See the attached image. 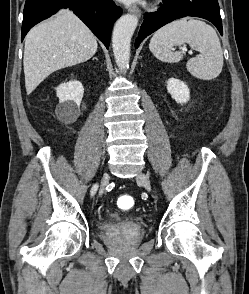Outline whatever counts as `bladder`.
Segmentation results:
<instances>
[{
    "label": "bladder",
    "instance_id": "bladder-1",
    "mask_svg": "<svg viewBox=\"0 0 249 294\" xmlns=\"http://www.w3.org/2000/svg\"><path fill=\"white\" fill-rule=\"evenodd\" d=\"M143 221L140 217L135 216H117L113 217L110 221L105 224L104 234L106 236L115 235L123 228H136L137 231L142 230Z\"/></svg>",
    "mask_w": 249,
    "mask_h": 294
}]
</instances>
